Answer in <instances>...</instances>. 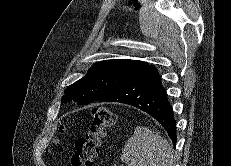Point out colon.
<instances>
[{
	"label": "colon",
	"instance_id": "obj_1",
	"mask_svg": "<svg viewBox=\"0 0 231 166\" xmlns=\"http://www.w3.org/2000/svg\"><path fill=\"white\" fill-rule=\"evenodd\" d=\"M92 115L90 131L76 141L75 152L71 156V166H93L102 140L115 122L114 113L104 106L95 107Z\"/></svg>",
	"mask_w": 231,
	"mask_h": 166
}]
</instances>
